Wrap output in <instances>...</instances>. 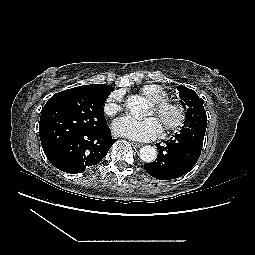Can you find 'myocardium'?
<instances>
[{"instance_id":"obj_1","label":"myocardium","mask_w":255,"mask_h":255,"mask_svg":"<svg viewBox=\"0 0 255 255\" xmlns=\"http://www.w3.org/2000/svg\"><path fill=\"white\" fill-rule=\"evenodd\" d=\"M154 114L161 119L165 134L180 130L187 121L186 107L175 100L165 99L153 103Z\"/></svg>"}]
</instances>
